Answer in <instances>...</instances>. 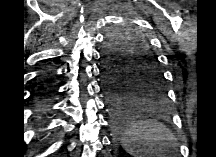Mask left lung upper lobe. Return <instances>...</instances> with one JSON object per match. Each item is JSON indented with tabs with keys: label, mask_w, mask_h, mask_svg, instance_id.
Listing matches in <instances>:
<instances>
[{
	"label": "left lung upper lobe",
	"mask_w": 216,
	"mask_h": 157,
	"mask_svg": "<svg viewBox=\"0 0 216 157\" xmlns=\"http://www.w3.org/2000/svg\"><path fill=\"white\" fill-rule=\"evenodd\" d=\"M103 53L110 78L133 96L164 94V76L157 56L138 30L125 27L110 32Z\"/></svg>",
	"instance_id": "left-lung-upper-lobe-1"
}]
</instances>
